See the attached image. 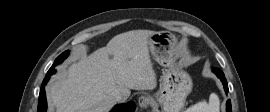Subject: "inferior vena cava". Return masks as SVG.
I'll list each match as a JSON object with an SVG mask.
<instances>
[{"label":"inferior vena cava","instance_id":"obj_1","mask_svg":"<svg viewBox=\"0 0 270 112\" xmlns=\"http://www.w3.org/2000/svg\"><path fill=\"white\" fill-rule=\"evenodd\" d=\"M114 99L118 103H123L126 101L127 97H125L123 94L118 93L114 96Z\"/></svg>","mask_w":270,"mask_h":112}]
</instances>
